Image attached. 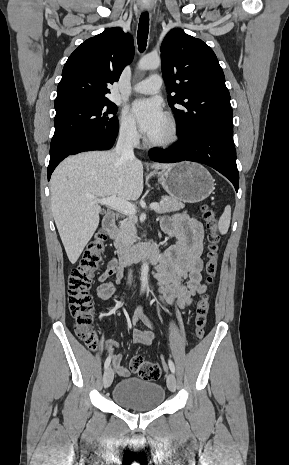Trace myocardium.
<instances>
[{"label": "myocardium", "mask_w": 289, "mask_h": 465, "mask_svg": "<svg viewBox=\"0 0 289 465\" xmlns=\"http://www.w3.org/2000/svg\"><path fill=\"white\" fill-rule=\"evenodd\" d=\"M179 139L178 128L172 116H166V131L160 139H146V143L150 147L167 148L175 144Z\"/></svg>", "instance_id": "myocardium-1"}]
</instances>
